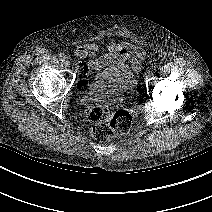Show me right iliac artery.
Listing matches in <instances>:
<instances>
[{
	"mask_svg": "<svg viewBox=\"0 0 212 212\" xmlns=\"http://www.w3.org/2000/svg\"><path fill=\"white\" fill-rule=\"evenodd\" d=\"M59 59H60L61 61H64V60H65V55H64V54H59Z\"/></svg>",
	"mask_w": 212,
	"mask_h": 212,
	"instance_id": "right-iliac-artery-1",
	"label": "right iliac artery"
}]
</instances>
